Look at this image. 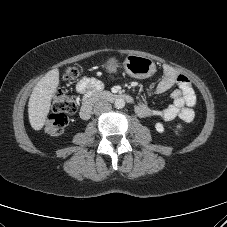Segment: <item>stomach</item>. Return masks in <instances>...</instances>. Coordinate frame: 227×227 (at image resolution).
Here are the masks:
<instances>
[{
    "instance_id": "1",
    "label": "stomach",
    "mask_w": 227,
    "mask_h": 227,
    "mask_svg": "<svg viewBox=\"0 0 227 227\" xmlns=\"http://www.w3.org/2000/svg\"><path fill=\"white\" fill-rule=\"evenodd\" d=\"M118 66V60L115 57L109 58L103 65L108 72L116 71ZM123 66L128 75L137 79L148 78L156 71V65L152 59L135 54L128 55Z\"/></svg>"
}]
</instances>
